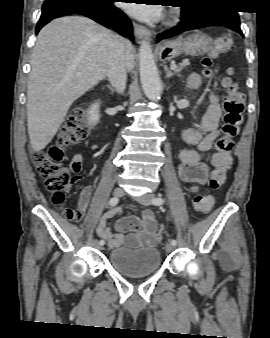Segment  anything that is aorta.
Returning <instances> with one entry per match:
<instances>
[{
	"instance_id": "aorta-1",
	"label": "aorta",
	"mask_w": 270,
	"mask_h": 338,
	"mask_svg": "<svg viewBox=\"0 0 270 338\" xmlns=\"http://www.w3.org/2000/svg\"><path fill=\"white\" fill-rule=\"evenodd\" d=\"M139 57L140 81L143 91L148 99L156 101L161 95V80L148 42L141 43Z\"/></svg>"
}]
</instances>
